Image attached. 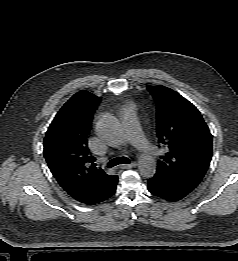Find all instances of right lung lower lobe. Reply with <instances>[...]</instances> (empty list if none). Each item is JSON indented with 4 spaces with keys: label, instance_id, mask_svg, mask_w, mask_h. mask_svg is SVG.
<instances>
[{
    "label": "right lung lower lobe",
    "instance_id": "right-lung-lower-lobe-1",
    "mask_svg": "<svg viewBox=\"0 0 238 261\" xmlns=\"http://www.w3.org/2000/svg\"><path fill=\"white\" fill-rule=\"evenodd\" d=\"M117 182H118V177L109 185V187L101 195H99L90 204L87 205L97 204L110 198L116 191Z\"/></svg>",
    "mask_w": 238,
    "mask_h": 261
}]
</instances>
